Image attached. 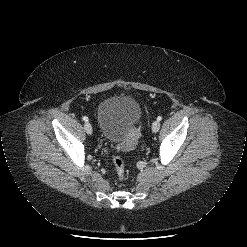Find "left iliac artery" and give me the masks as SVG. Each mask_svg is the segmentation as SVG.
I'll use <instances>...</instances> for the list:
<instances>
[{"label":"left iliac artery","mask_w":247,"mask_h":247,"mask_svg":"<svg viewBox=\"0 0 247 247\" xmlns=\"http://www.w3.org/2000/svg\"><path fill=\"white\" fill-rule=\"evenodd\" d=\"M157 120H158V121H161V120H162V117H161V116H158V117H157Z\"/></svg>","instance_id":"obj_1"}]
</instances>
